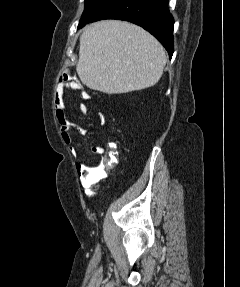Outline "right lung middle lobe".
Masks as SVG:
<instances>
[{"label":"right lung middle lobe","mask_w":240,"mask_h":287,"mask_svg":"<svg viewBox=\"0 0 240 287\" xmlns=\"http://www.w3.org/2000/svg\"><path fill=\"white\" fill-rule=\"evenodd\" d=\"M109 0H85V9L79 22V28L89 23Z\"/></svg>","instance_id":"dd1d6c3e"}]
</instances>
